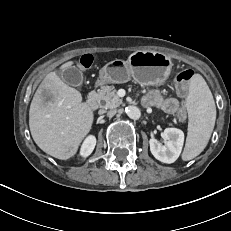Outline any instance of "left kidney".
Instances as JSON below:
<instances>
[{"instance_id": "1", "label": "left kidney", "mask_w": 231, "mask_h": 231, "mask_svg": "<svg viewBox=\"0 0 231 231\" xmlns=\"http://www.w3.org/2000/svg\"><path fill=\"white\" fill-rule=\"evenodd\" d=\"M165 144L162 145L157 139L149 140L152 155L163 163L175 162L183 147L184 133L177 128H166L163 133Z\"/></svg>"}]
</instances>
